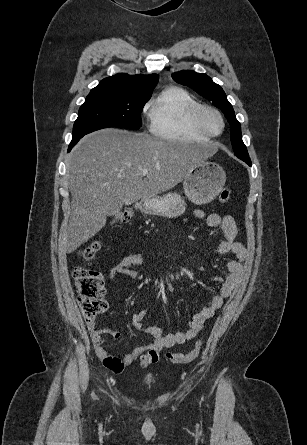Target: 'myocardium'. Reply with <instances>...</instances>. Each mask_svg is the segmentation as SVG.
Returning a JSON list of instances; mask_svg holds the SVG:
<instances>
[{"mask_svg": "<svg viewBox=\"0 0 307 445\" xmlns=\"http://www.w3.org/2000/svg\"><path fill=\"white\" fill-rule=\"evenodd\" d=\"M214 116L219 117L223 123V129L219 133H215L211 126V118ZM199 119H200V124L202 126V129L208 136L218 137V136L222 135L226 130V126H227L226 118H225L224 114L217 108H214V107L204 108L200 112Z\"/></svg>", "mask_w": 307, "mask_h": 445, "instance_id": "1", "label": "myocardium"}]
</instances>
